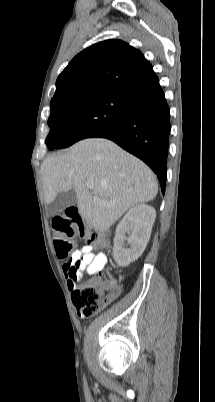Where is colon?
<instances>
[{"label":"colon","mask_w":215,"mask_h":402,"mask_svg":"<svg viewBox=\"0 0 215 402\" xmlns=\"http://www.w3.org/2000/svg\"><path fill=\"white\" fill-rule=\"evenodd\" d=\"M51 227L56 253L58 257L67 259V266L70 267L72 273L77 270L80 264V260L72 259L73 237L79 236L88 243L99 247L109 245L108 238L104 234L90 230L74 208H68L53 216ZM96 273L97 276L94 279L79 285L73 293V301L76 307L85 316L98 313L117 294L116 287L112 283L106 282L99 271Z\"/></svg>","instance_id":"obj_1"}]
</instances>
